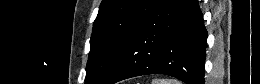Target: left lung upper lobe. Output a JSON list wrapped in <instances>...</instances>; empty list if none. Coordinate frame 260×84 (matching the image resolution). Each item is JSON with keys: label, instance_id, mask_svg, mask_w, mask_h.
Segmentation results:
<instances>
[{"label": "left lung upper lobe", "instance_id": "5c2ea615", "mask_svg": "<svg viewBox=\"0 0 260 84\" xmlns=\"http://www.w3.org/2000/svg\"><path fill=\"white\" fill-rule=\"evenodd\" d=\"M158 0H103L93 25L85 84H102Z\"/></svg>", "mask_w": 260, "mask_h": 84}]
</instances>
